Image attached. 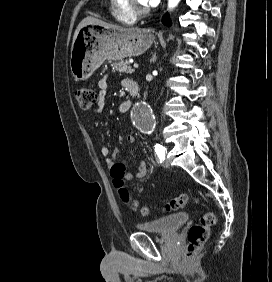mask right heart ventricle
Instances as JSON below:
<instances>
[{
	"instance_id": "obj_1",
	"label": "right heart ventricle",
	"mask_w": 272,
	"mask_h": 282,
	"mask_svg": "<svg viewBox=\"0 0 272 282\" xmlns=\"http://www.w3.org/2000/svg\"><path fill=\"white\" fill-rule=\"evenodd\" d=\"M112 11L115 18L124 24H132L136 20V16L132 15L126 8L125 0H111Z\"/></svg>"
}]
</instances>
